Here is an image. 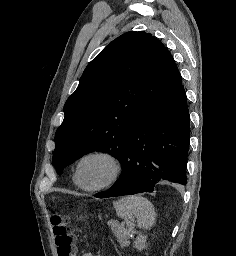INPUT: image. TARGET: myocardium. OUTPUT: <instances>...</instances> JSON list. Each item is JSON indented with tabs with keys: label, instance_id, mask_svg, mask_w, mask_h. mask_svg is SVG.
I'll return each mask as SVG.
<instances>
[{
	"label": "myocardium",
	"instance_id": "1",
	"mask_svg": "<svg viewBox=\"0 0 236 256\" xmlns=\"http://www.w3.org/2000/svg\"><path fill=\"white\" fill-rule=\"evenodd\" d=\"M93 156H103V157H106L107 159H109L114 166V172H113V175L106 182H104L100 185L94 186V187H88V186L84 185L81 180V165L86 159L93 157ZM122 173H123L122 160L115 152L108 150V149H97V150H93V151L85 153L83 156H81L79 158V160L77 161L76 167H75V177H76L78 185L82 189L89 191V192L100 191V190H103V189H106V188L112 186L120 179Z\"/></svg>",
	"mask_w": 236,
	"mask_h": 256
}]
</instances>
